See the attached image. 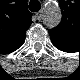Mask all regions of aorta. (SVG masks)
<instances>
[{
	"instance_id": "obj_1",
	"label": "aorta",
	"mask_w": 80,
	"mask_h": 80,
	"mask_svg": "<svg viewBox=\"0 0 80 80\" xmlns=\"http://www.w3.org/2000/svg\"><path fill=\"white\" fill-rule=\"evenodd\" d=\"M62 18L61 10L59 6L51 7V5L47 6V11L44 16V23L49 27L57 26Z\"/></svg>"
}]
</instances>
